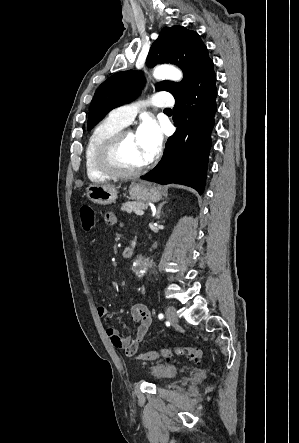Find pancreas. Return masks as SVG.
Masks as SVG:
<instances>
[{
    "mask_svg": "<svg viewBox=\"0 0 299 443\" xmlns=\"http://www.w3.org/2000/svg\"><path fill=\"white\" fill-rule=\"evenodd\" d=\"M146 208H147V205H145L141 202L128 201L122 205L121 210L131 213V212H135L136 210H144Z\"/></svg>",
    "mask_w": 299,
    "mask_h": 443,
    "instance_id": "cf45deb5",
    "label": "pancreas"
}]
</instances>
